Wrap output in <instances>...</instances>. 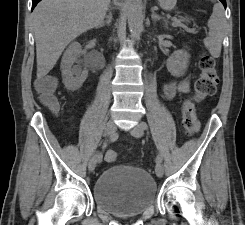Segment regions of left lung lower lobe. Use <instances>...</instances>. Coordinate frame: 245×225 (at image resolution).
I'll return each instance as SVG.
<instances>
[{
	"mask_svg": "<svg viewBox=\"0 0 245 225\" xmlns=\"http://www.w3.org/2000/svg\"><path fill=\"white\" fill-rule=\"evenodd\" d=\"M222 2V4L224 5V7L226 8V0H220Z\"/></svg>",
	"mask_w": 245,
	"mask_h": 225,
	"instance_id": "left-lung-lower-lobe-1",
	"label": "left lung lower lobe"
}]
</instances>
